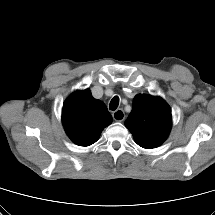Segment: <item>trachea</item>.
<instances>
[{
	"instance_id": "trachea-1",
	"label": "trachea",
	"mask_w": 215,
	"mask_h": 215,
	"mask_svg": "<svg viewBox=\"0 0 215 215\" xmlns=\"http://www.w3.org/2000/svg\"><path fill=\"white\" fill-rule=\"evenodd\" d=\"M118 105H119V97L115 96V97H113V99L111 100V102L109 104V109L114 111V110H116Z\"/></svg>"
}]
</instances>
